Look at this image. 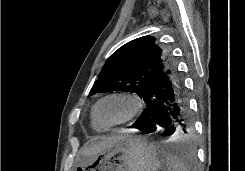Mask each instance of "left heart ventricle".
Segmentation results:
<instances>
[{
  "instance_id": "left-heart-ventricle-1",
  "label": "left heart ventricle",
  "mask_w": 245,
  "mask_h": 171,
  "mask_svg": "<svg viewBox=\"0 0 245 171\" xmlns=\"http://www.w3.org/2000/svg\"><path fill=\"white\" fill-rule=\"evenodd\" d=\"M129 108V103L123 99H107L100 104L98 108V116L104 122H116L127 115Z\"/></svg>"
}]
</instances>
